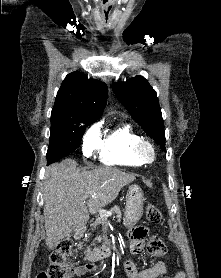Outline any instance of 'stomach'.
Wrapping results in <instances>:
<instances>
[{
    "mask_svg": "<svg viewBox=\"0 0 221 278\" xmlns=\"http://www.w3.org/2000/svg\"><path fill=\"white\" fill-rule=\"evenodd\" d=\"M144 195L138 185H130L126 195V207L124 212V225L134 227L143 214Z\"/></svg>",
    "mask_w": 221,
    "mask_h": 278,
    "instance_id": "obj_1",
    "label": "stomach"
}]
</instances>
